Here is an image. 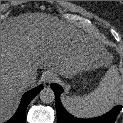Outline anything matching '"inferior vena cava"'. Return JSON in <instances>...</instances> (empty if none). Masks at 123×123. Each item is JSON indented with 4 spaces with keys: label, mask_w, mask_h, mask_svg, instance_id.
Wrapping results in <instances>:
<instances>
[{
    "label": "inferior vena cava",
    "mask_w": 123,
    "mask_h": 123,
    "mask_svg": "<svg viewBox=\"0 0 123 123\" xmlns=\"http://www.w3.org/2000/svg\"><path fill=\"white\" fill-rule=\"evenodd\" d=\"M21 78L24 80V81H29L31 76L28 72H24L21 74Z\"/></svg>",
    "instance_id": "inferior-vena-cava-1"
}]
</instances>
